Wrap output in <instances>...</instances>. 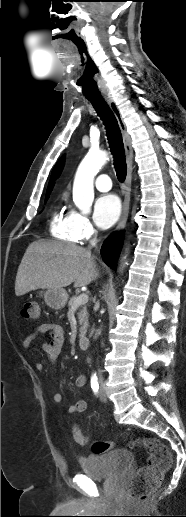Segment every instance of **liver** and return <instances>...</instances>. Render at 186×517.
Masks as SVG:
<instances>
[{
	"instance_id": "obj_1",
	"label": "liver",
	"mask_w": 186,
	"mask_h": 517,
	"mask_svg": "<svg viewBox=\"0 0 186 517\" xmlns=\"http://www.w3.org/2000/svg\"><path fill=\"white\" fill-rule=\"evenodd\" d=\"M99 276L89 249L58 241L31 243L18 267L15 294L22 296L36 289H60L90 284Z\"/></svg>"
}]
</instances>
